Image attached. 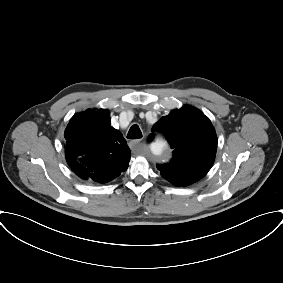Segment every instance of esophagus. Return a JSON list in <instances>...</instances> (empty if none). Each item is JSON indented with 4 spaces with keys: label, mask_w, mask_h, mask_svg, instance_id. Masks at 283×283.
<instances>
[{
    "label": "esophagus",
    "mask_w": 283,
    "mask_h": 283,
    "mask_svg": "<svg viewBox=\"0 0 283 283\" xmlns=\"http://www.w3.org/2000/svg\"><path fill=\"white\" fill-rule=\"evenodd\" d=\"M141 139H138V140H132L129 142V146L130 148H136L138 147L140 144H141Z\"/></svg>",
    "instance_id": "obj_1"
}]
</instances>
